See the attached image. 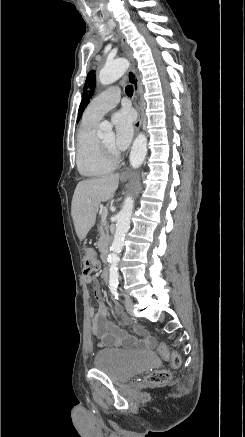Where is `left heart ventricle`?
Listing matches in <instances>:
<instances>
[{
	"label": "left heart ventricle",
	"mask_w": 245,
	"mask_h": 437,
	"mask_svg": "<svg viewBox=\"0 0 245 437\" xmlns=\"http://www.w3.org/2000/svg\"><path fill=\"white\" fill-rule=\"evenodd\" d=\"M109 149H114V135L113 134H107L104 137L100 139Z\"/></svg>",
	"instance_id": "b2bd125f"
}]
</instances>
